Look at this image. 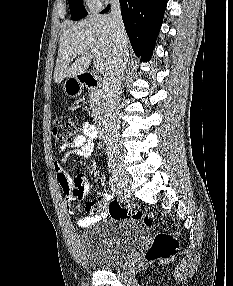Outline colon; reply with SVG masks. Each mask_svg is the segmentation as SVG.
I'll return each mask as SVG.
<instances>
[{
	"instance_id": "obj_1",
	"label": "colon",
	"mask_w": 233,
	"mask_h": 286,
	"mask_svg": "<svg viewBox=\"0 0 233 286\" xmlns=\"http://www.w3.org/2000/svg\"><path fill=\"white\" fill-rule=\"evenodd\" d=\"M79 122L76 117L57 118L53 125L55 138L66 144L72 143L77 137ZM109 214L116 219L130 218L142 221L152 227L154 219L151 213L144 212L137 207L127 204L121 205L113 200L108 205ZM179 249L178 240L169 233H158L145 254L147 262H163L173 258Z\"/></svg>"
}]
</instances>
